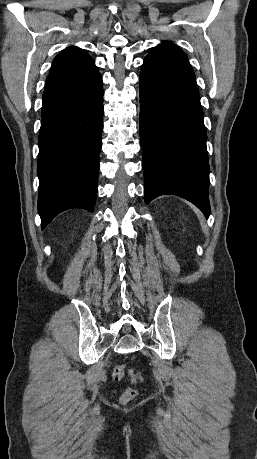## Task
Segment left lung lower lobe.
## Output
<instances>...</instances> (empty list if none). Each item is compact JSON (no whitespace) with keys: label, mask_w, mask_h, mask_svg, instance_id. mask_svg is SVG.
Masks as SVG:
<instances>
[{"label":"left lung lower lobe","mask_w":257,"mask_h":459,"mask_svg":"<svg viewBox=\"0 0 257 459\" xmlns=\"http://www.w3.org/2000/svg\"><path fill=\"white\" fill-rule=\"evenodd\" d=\"M139 125L146 203L175 194L208 217L207 135L195 74L184 52L153 50L145 57Z\"/></svg>","instance_id":"left-lung-lower-lobe-1"}]
</instances>
